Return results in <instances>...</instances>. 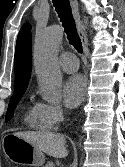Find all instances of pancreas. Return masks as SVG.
Instances as JSON below:
<instances>
[{
  "mask_svg": "<svg viewBox=\"0 0 125 167\" xmlns=\"http://www.w3.org/2000/svg\"><path fill=\"white\" fill-rule=\"evenodd\" d=\"M44 167H54L53 162H48Z\"/></svg>",
  "mask_w": 125,
  "mask_h": 167,
  "instance_id": "obj_1",
  "label": "pancreas"
}]
</instances>
